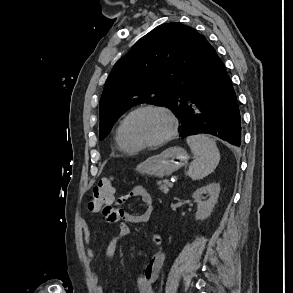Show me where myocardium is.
Listing matches in <instances>:
<instances>
[{"label": "myocardium", "mask_w": 293, "mask_h": 293, "mask_svg": "<svg viewBox=\"0 0 293 293\" xmlns=\"http://www.w3.org/2000/svg\"><path fill=\"white\" fill-rule=\"evenodd\" d=\"M142 111H154L162 114L169 122V129L167 133L159 138L156 141L153 142H147V143H134L129 139L128 136V123L130 119L136 115L139 112ZM178 129V122L175 118V116L165 107L159 106V105H154V104H146V105H141L132 111H130L126 117L122 121V126H121V132H122V138L124 143L135 150H140V149H147V148H153V147H158L161 146L167 142H169L176 134Z\"/></svg>", "instance_id": "obj_1"}]
</instances>
